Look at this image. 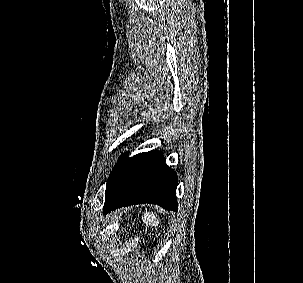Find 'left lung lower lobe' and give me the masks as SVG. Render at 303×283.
Listing matches in <instances>:
<instances>
[{
    "label": "left lung lower lobe",
    "instance_id": "0a47b994",
    "mask_svg": "<svg viewBox=\"0 0 303 283\" xmlns=\"http://www.w3.org/2000/svg\"><path fill=\"white\" fill-rule=\"evenodd\" d=\"M177 175L167 166L161 152L124 153L107 182L104 213L141 203L158 204L177 210Z\"/></svg>",
    "mask_w": 303,
    "mask_h": 283
}]
</instances>
